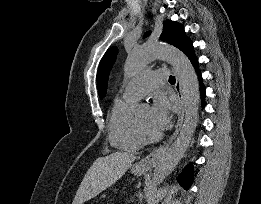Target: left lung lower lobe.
<instances>
[{"mask_svg": "<svg viewBox=\"0 0 261 204\" xmlns=\"http://www.w3.org/2000/svg\"><path fill=\"white\" fill-rule=\"evenodd\" d=\"M182 51L188 56L192 65L194 66V68L197 71V74H198V77H199V80H200V85H201V96H202L201 102H202V106L204 107L205 90H204V87H203V84H202L201 74L198 71V59L194 55L193 45H192L191 41L188 42V44L182 49ZM178 180H179V183L185 189H188L190 187L192 180H193V170H192L190 165L179 175Z\"/></svg>", "mask_w": 261, "mask_h": 204, "instance_id": "0a47b994", "label": "left lung lower lobe"}]
</instances>
